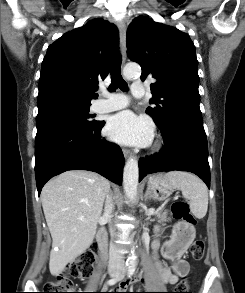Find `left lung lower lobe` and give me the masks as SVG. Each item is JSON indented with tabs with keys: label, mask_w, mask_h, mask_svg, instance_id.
<instances>
[{
	"label": "left lung lower lobe",
	"mask_w": 245,
	"mask_h": 293,
	"mask_svg": "<svg viewBox=\"0 0 245 293\" xmlns=\"http://www.w3.org/2000/svg\"><path fill=\"white\" fill-rule=\"evenodd\" d=\"M164 147L158 154L139 160V181L147 174L161 171H189L210 188L208 145L203 122L175 117L159 127Z\"/></svg>",
	"instance_id": "left-lung-lower-lobe-1"
}]
</instances>
